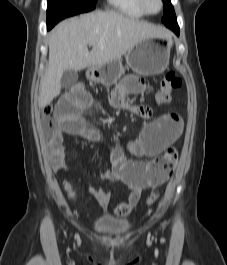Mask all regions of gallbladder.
I'll return each instance as SVG.
<instances>
[{
	"label": "gallbladder",
	"mask_w": 227,
	"mask_h": 265,
	"mask_svg": "<svg viewBox=\"0 0 227 265\" xmlns=\"http://www.w3.org/2000/svg\"><path fill=\"white\" fill-rule=\"evenodd\" d=\"M78 80V73L74 70H67L63 73L61 78V85L64 88L71 87Z\"/></svg>",
	"instance_id": "1"
}]
</instances>
